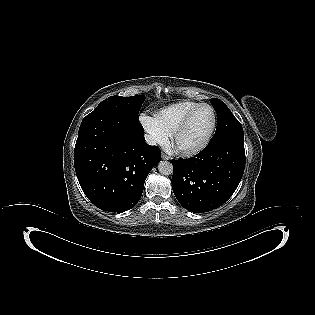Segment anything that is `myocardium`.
<instances>
[{
	"mask_svg": "<svg viewBox=\"0 0 315 315\" xmlns=\"http://www.w3.org/2000/svg\"><path fill=\"white\" fill-rule=\"evenodd\" d=\"M202 107L209 108L211 110V113H212V125H211V128H210L208 134L206 135L204 140L199 145H197L196 147H194L192 149H189V150L178 149L175 146L176 139L185 131V129L187 128V126L190 123L191 119L195 115V113ZM216 125H217V114H216V111H215L214 107L212 105L208 104V103H199L198 105H196L192 110H190L187 113V115L182 119V121L175 128V130L173 131V133L171 135L172 143H173L175 149L178 151V153L183 155V156H194V155H197L202 150H204L207 147V145L209 144V142L211 141V139L213 137V134L215 132V129H216Z\"/></svg>",
	"mask_w": 315,
	"mask_h": 315,
	"instance_id": "myocardium-1",
	"label": "myocardium"
}]
</instances>
